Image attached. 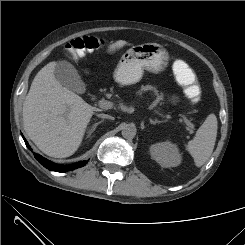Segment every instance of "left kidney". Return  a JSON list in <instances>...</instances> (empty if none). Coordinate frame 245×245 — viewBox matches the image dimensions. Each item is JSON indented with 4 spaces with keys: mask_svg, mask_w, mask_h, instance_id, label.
<instances>
[{
    "mask_svg": "<svg viewBox=\"0 0 245 245\" xmlns=\"http://www.w3.org/2000/svg\"><path fill=\"white\" fill-rule=\"evenodd\" d=\"M150 153L152 158L164 168L176 167L182 161L177 145L170 141L151 145Z\"/></svg>",
    "mask_w": 245,
    "mask_h": 245,
    "instance_id": "obj_1",
    "label": "left kidney"
}]
</instances>
